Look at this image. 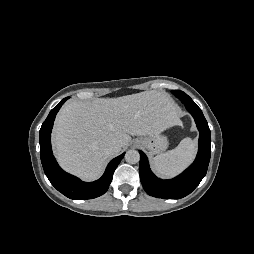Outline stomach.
Returning <instances> with one entry per match:
<instances>
[{
	"instance_id": "1",
	"label": "stomach",
	"mask_w": 254,
	"mask_h": 254,
	"mask_svg": "<svg viewBox=\"0 0 254 254\" xmlns=\"http://www.w3.org/2000/svg\"><path fill=\"white\" fill-rule=\"evenodd\" d=\"M135 144L150 151V154L161 153L168 148V140L164 135H153L136 139Z\"/></svg>"
}]
</instances>
